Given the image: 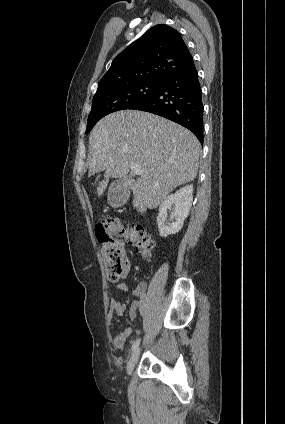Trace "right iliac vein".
Returning <instances> with one entry per match:
<instances>
[{
    "label": "right iliac vein",
    "mask_w": 285,
    "mask_h": 424,
    "mask_svg": "<svg viewBox=\"0 0 285 424\" xmlns=\"http://www.w3.org/2000/svg\"><path fill=\"white\" fill-rule=\"evenodd\" d=\"M139 355H140V349L137 348L133 352L132 356L130 357V359H129L128 363H127V374L128 375H131L132 374V372L134 370V367H135V365H136V363L138 361Z\"/></svg>",
    "instance_id": "63e3f726"
}]
</instances>
